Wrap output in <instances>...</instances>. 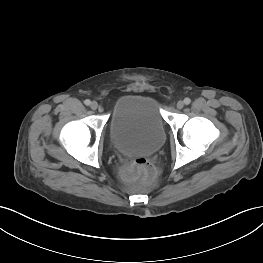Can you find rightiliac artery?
Listing matches in <instances>:
<instances>
[{
	"label": "right iliac artery",
	"mask_w": 263,
	"mask_h": 263,
	"mask_svg": "<svg viewBox=\"0 0 263 263\" xmlns=\"http://www.w3.org/2000/svg\"><path fill=\"white\" fill-rule=\"evenodd\" d=\"M84 104L87 105V106H89V105L91 104V101H90L89 99H86V100L84 101Z\"/></svg>",
	"instance_id": "1"
}]
</instances>
